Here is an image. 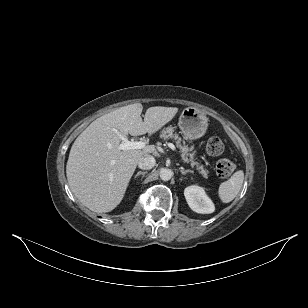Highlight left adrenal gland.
I'll return each mask as SVG.
<instances>
[{
    "instance_id": "1",
    "label": "left adrenal gland",
    "mask_w": 308,
    "mask_h": 308,
    "mask_svg": "<svg viewBox=\"0 0 308 308\" xmlns=\"http://www.w3.org/2000/svg\"><path fill=\"white\" fill-rule=\"evenodd\" d=\"M180 172H181V174L182 175H185V174H187V173H193V171L192 170H185L184 168H180Z\"/></svg>"
}]
</instances>
